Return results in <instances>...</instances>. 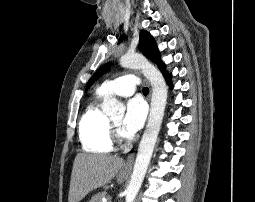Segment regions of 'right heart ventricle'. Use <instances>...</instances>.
<instances>
[{"mask_svg": "<svg viewBox=\"0 0 255 202\" xmlns=\"http://www.w3.org/2000/svg\"><path fill=\"white\" fill-rule=\"evenodd\" d=\"M79 136L84 149L92 153H108L113 149L109 118L97 102L88 106L79 123Z\"/></svg>", "mask_w": 255, "mask_h": 202, "instance_id": "obj_1", "label": "right heart ventricle"}]
</instances>
